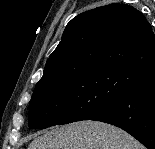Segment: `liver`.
Returning <instances> with one entry per match:
<instances>
[{
    "instance_id": "1",
    "label": "liver",
    "mask_w": 155,
    "mask_h": 149,
    "mask_svg": "<svg viewBox=\"0 0 155 149\" xmlns=\"http://www.w3.org/2000/svg\"><path fill=\"white\" fill-rule=\"evenodd\" d=\"M28 149H145L127 132L97 121H79L36 137Z\"/></svg>"
}]
</instances>
